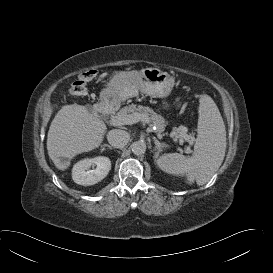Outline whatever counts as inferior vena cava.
Returning <instances> with one entry per match:
<instances>
[{"label": "inferior vena cava", "mask_w": 273, "mask_h": 273, "mask_svg": "<svg viewBox=\"0 0 273 273\" xmlns=\"http://www.w3.org/2000/svg\"><path fill=\"white\" fill-rule=\"evenodd\" d=\"M130 135L128 132L120 129H113L107 135L108 142L115 148H123L129 142Z\"/></svg>", "instance_id": "inferior-vena-cava-1"}]
</instances>
